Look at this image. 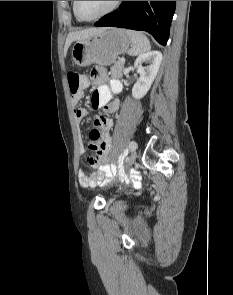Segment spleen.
Returning a JSON list of instances; mask_svg holds the SVG:
<instances>
[{
    "label": "spleen",
    "mask_w": 233,
    "mask_h": 295,
    "mask_svg": "<svg viewBox=\"0 0 233 295\" xmlns=\"http://www.w3.org/2000/svg\"><path fill=\"white\" fill-rule=\"evenodd\" d=\"M126 33L132 43V47L128 51L130 56H137L151 49L148 38L142 32L126 30Z\"/></svg>",
    "instance_id": "obj_1"
}]
</instances>
